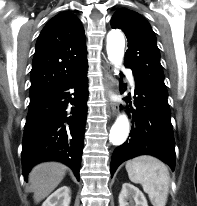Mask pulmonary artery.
Returning <instances> with one entry per match:
<instances>
[{"instance_id": "obj_1", "label": "pulmonary artery", "mask_w": 197, "mask_h": 206, "mask_svg": "<svg viewBox=\"0 0 197 206\" xmlns=\"http://www.w3.org/2000/svg\"><path fill=\"white\" fill-rule=\"evenodd\" d=\"M129 77H130V81H131L132 85H134V79H133V76H132L131 72H129Z\"/></svg>"}]
</instances>
